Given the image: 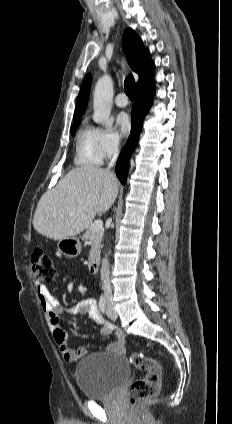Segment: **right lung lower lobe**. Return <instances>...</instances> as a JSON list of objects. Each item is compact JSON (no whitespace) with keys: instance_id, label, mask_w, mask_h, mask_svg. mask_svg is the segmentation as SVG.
Masks as SVG:
<instances>
[{"instance_id":"obj_1","label":"right lung lower lobe","mask_w":232,"mask_h":424,"mask_svg":"<svg viewBox=\"0 0 232 424\" xmlns=\"http://www.w3.org/2000/svg\"><path fill=\"white\" fill-rule=\"evenodd\" d=\"M154 80L146 86L137 88L135 102L132 107L131 133L116 164V174L122 184H125L130 156L142 130L143 119L147 114L154 96Z\"/></svg>"}]
</instances>
